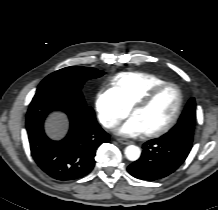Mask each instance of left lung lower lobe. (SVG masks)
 Listing matches in <instances>:
<instances>
[{
  "label": "left lung lower lobe",
  "instance_id": "obj_1",
  "mask_svg": "<svg viewBox=\"0 0 218 210\" xmlns=\"http://www.w3.org/2000/svg\"><path fill=\"white\" fill-rule=\"evenodd\" d=\"M193 136L189 131L175 138L161 136L143 144L141 157L128 166V172L139 179L157 180L173 173L185 161Z\"/></svg>",
  "mask_w": 218,
  "mask_h": 210
}]
</instances>
